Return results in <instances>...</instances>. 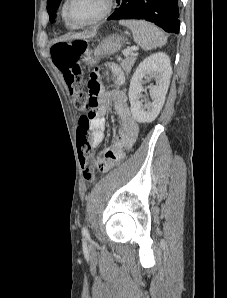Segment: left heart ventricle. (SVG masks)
<instances>
[{"instance_id":"obj_1","label":"left heart ventricle","mask_w":227,"mask_h":298,"mask_svg":"<svg viewBox=\"0 0 227 298\" xmlns=\"http://www.w3.org/2000/svg\"><path fill=\"white\" fill-rule=\"evenodd\" d=\"M103 0H71L69 15L76 23L89 21L100 14Z\"/></svg>"}]
</instances>
